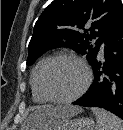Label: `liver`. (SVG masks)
<instances>
[{
  "label": "liver",
  "mask_w": 123,
  "mask_h": 130,
  "mask_svg": "<svg viewBox=\"0 0 123 130\" xmlns=\"http://www.w3.org/2000/svg\"><path fill=\"white\" fill-rule=\"evenodd\" d=\"M82 111L76 106H38L29 116L25 128L48 130L59 122L70 119Z\"/></svg>",
  "instance_id": "liver-1"
}]
</instances>
